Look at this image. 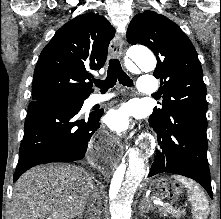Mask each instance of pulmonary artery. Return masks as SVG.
I'll return each instance as SVG.
<instances>
[{
	"label": "pulmonary artery",
	"instance_id": "pulmonary-artery-1",
	"mask_svg": "<svg viewBox=\"0 0 221 219\" xmlns=\"http://www.w3.org/2000/svg\"><path fill=\"white\" fill-rule=\"evenodd\" d=\"M138 89L141 93L146 95H155L156 92L159 90V82L158 80L152 75H141L139 78ZM113 94H95L91 97L90 103L97 104L101 102H105L113 98Z\"/></svg>",
	"mask_w": 221,
	"mask_h": 219
}]
</instances>
